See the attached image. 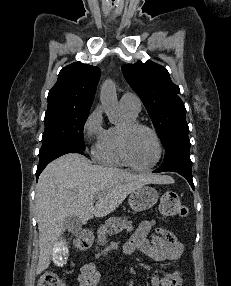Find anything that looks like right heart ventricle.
Instances as JSON below:
<instances>
[{
    "label": "right heart ventricle",
    "instance_id": "obj_1",
    "mask_svg": "<svg viewBox=\"0 0 231 286\" xmlns=\"http://www.w3.org/2000/svg\"><path fill=\"white\" fill-rule=\"evenodd\" d=\"M125 123L137 121L138 114L124 110ZM120 130L121 127H110L106 129L105 134L99 144L95 147L94 158L101 164L112 167H127L128 164L120 151Z\"/></svg>",
    "mask_w": 231,
    "mask_h": 286
}]
</instances>
